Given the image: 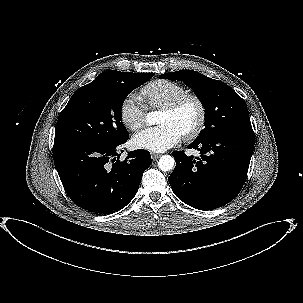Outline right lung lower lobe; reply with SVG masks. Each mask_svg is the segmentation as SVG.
<instances>
[{
    "mask_svg": "<svg viewBox=\"0 0 303 303\" xmlns=\"http://www.w3.org/2000/svg\"><path fill=\"white\" fill-rule=\"evenodd\" d=\"M127 139L104 144L81 140L54 143L56 169L77 206L105 215L124 208L133 199L151 156L149 151L138 149L120 161L117 148Z\"/></svg>",
    "mask_w": 303,
    "mask_h": 303,
    "instance_id": "right-lung-lower-lobe-1",
    "label": "right lung lower lobe"
}]
</instances>
